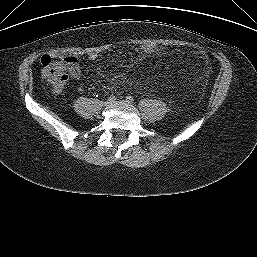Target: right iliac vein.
Segmentation results:
<instances>
[{
    "label": "right iliac vein",
    "instance_id": "right-iliac-vein-1",
    "mask_svg": "<svg viewBox=\"0 0 257 257\" xmlns=\"http://www.w3.org/2000/svg\"><path fill=\"white\" fill-rule=\"evenodd\" d=\"M102 106H109L111 104V102L108 101H103L101 102Z\"/></svg>",
    "mask_w": 257,
    "mask_h": 257
}]
</instances>
